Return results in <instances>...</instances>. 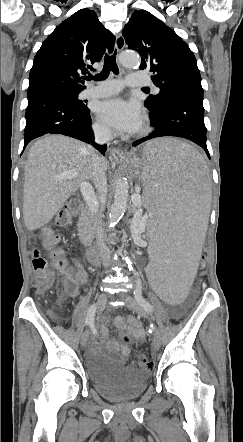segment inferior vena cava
Here are the masks:
<instances>
[{
	"label": "inferior vena cava",
	"mask_w": 243,
	"mask_h": 442,
	"mask_svg": "<svg viewBox=\"0 0 243 442\" xmlns=\"http://www.w3.org/2000/svg\"><path fill=\"white\" fill-rule=\"evenodd\" d=\"M95 141L99 144L108 143L112 139V131L107 127L94 126ZM93 183L99 192L101 198L107 194V179L105 170L102 165V159L96 153L93 156ZM96 203V209L98 208V202L94 197ZM95 230H96V248L103 261L104 266L109 267L111 262V252L104 240V229L101 217L98 213H95Z\"/></svg>",
	"instance_id": "1"
}]
</instances>
